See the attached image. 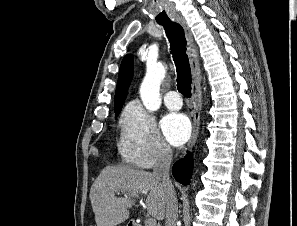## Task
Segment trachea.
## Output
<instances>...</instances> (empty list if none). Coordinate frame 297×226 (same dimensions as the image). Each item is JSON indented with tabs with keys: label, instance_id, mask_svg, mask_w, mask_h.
Here are the masks:
<instances>
[{
	"label": "trachea",
	"instance_id": "3493384b",
	"mask_svg": "<svg viewBox=\"0 0 297 226\" xmlns=\"http://www.w3.org/2000/svg\"><path fill=\"white\" fill-rule=\"evenodd\" d=\"M165 29L177 72V88L185 97L191 95V68L186 54V38L183 27L172 21L159 22Z\"/></svg>",
	"mask_w": 297,
	"mask_h": 226
}]
</instances>
